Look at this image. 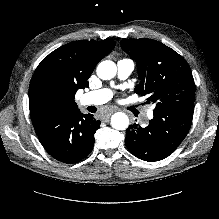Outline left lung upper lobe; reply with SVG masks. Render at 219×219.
Instances as JSON below:
<instances>
[{
	"label": "left lung upper lobe",
	"mask_w": 219,
	"mask_h": 219,
	"mask_svg": "<svg viewBox=\"0 0 219 219\" xmlns=\"http://www.w3.org/2000/svg\"><path fill=\"white\" fill-rule=\"evenodd\" d=\"M121 47L137 63V94L148 96L155 111L194 106L195 83L186 60L168 46L151 39H128Z\"/></svg>",
	"instance_id": "5c2ea615"
}]
</instances>
